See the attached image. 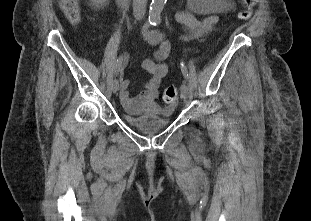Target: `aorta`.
Returning <instances> with one entry per match:
<instances>
[{"mask_svg": "<svg viewBox=\"0 0 311 221\" xmlns=\"http://www.w3.org/2000/svg\"><path fill=\"white\" fill-rule=\"evenodd\" d=\"M164 4V0H152L149 10L150 20H159Z\"/></svg>", "mask_w": 311, "mask_h": 221, "instance_id": "obj_1", "label": "aorta"}]
</instances>
